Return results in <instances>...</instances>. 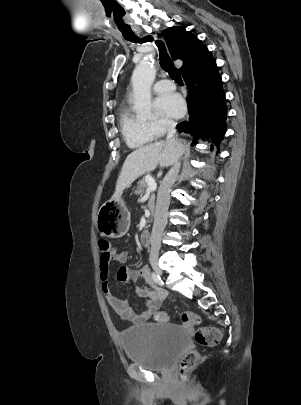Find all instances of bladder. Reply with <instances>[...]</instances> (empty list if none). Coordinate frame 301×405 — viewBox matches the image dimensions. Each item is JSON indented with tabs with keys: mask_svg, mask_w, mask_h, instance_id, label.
Returning a JSON list of instances; mask_svg holds the SVG:
<instances>
[{
	"mask_svg": "<svg viewBox=\"0 0 301 405\" xmlns=\"http://www.w3.org/2000/svg\"><path fill=\"white\" fill-rule=\"evenodd\" d=\"M119 337L129 361L159 372L170 370L189 343L185 328L166 323L130 327Z\"/></svg>",
	"mask_w": 301,
	"mask_h": 405,
	"instance_id": "31cf9c89",
	"label": "bladder"
}]
</instances>
